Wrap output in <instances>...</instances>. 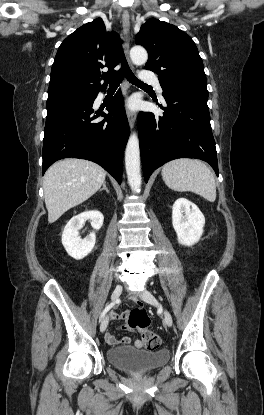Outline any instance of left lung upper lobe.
Instances as JSON below:
<instances>
[{
	"label": "left lung upper lobe",
	"instance_id": "obj_1",
	"mask_svg": "<svg viewBox=\"0 0 264 415\" xmlns=\"http://www.w3.org/2000/svg\"><path fill=\"white\" fill-rule=\"evenodd\" d=\"M135 41L148 51L145 69L157 73L163 95L180 91L208 94L202 59L186 33L152 18L141 26Z\"/></svg>",
	"mask_w": 264,
	"mask_h": 415
}]
</instances>
